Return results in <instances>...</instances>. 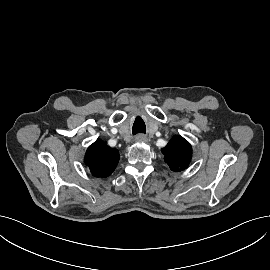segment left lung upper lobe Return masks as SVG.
I'll return each mask as SVG.
<instances>
[{
	"instance_id": "obj_1",
	"label": "left lung upper lobe",
	"mask_w": 270,
	"mask_h": 270,
	"mask_svg": "<svg viewBox=\"0 0 270 270\" xmlns=\"http://www.w3.org/2000/svg\"><path fill=\"white\" fill-rule=\"evenodd\" d=\"M164 160L173 171H181L188 167L191 161L192 148L182 136H174L162 149Z\"/></svg>"
}]
</instances>
